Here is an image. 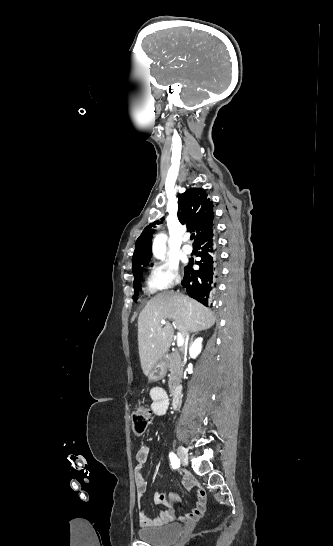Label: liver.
<instances>
[{
	"label": "liver",
	"mask_w": 333,
	"mask_h": 546,
	"mask_svg": "<svg viewBox=\"0 0 333 546\" xmlns=\"http://www.w3.org/2000/svg\"><path fill=\"white\" fill-rule=\"evenodd\" d=\"M166 318L173 320L174 328L183 338L188 332L211 328L216 321L211 310L188 296L165 291L151 298L138 317V349L141 368L146 376L173 341V326L170 323L161 324V320Z\"/></svg>",
	"instance_id": "1"
}]
</instances>
